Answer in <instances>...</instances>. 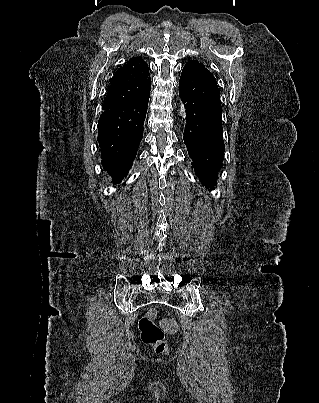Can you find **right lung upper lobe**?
<instances>
[{"label": "right lung upper lobe", "mask_w": 319, "mask_h": 403, "mask_svg": "<svg viewBox=\"0 0 319 403\" xmlns=\"http://www.w3.org/2000/svg\"><path fill=\"white\" fill-rule=\"evenodd\" d=\"M150 89L148 64L133 57L115 72L102 108L106 110L131 102L148 94Z\"/></svg>", "instance_id": "obj_1"}]
</instances>
